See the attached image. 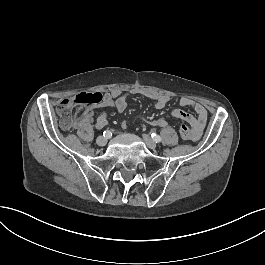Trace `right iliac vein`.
Here are the masks:
<instances>
[{"label": "right iliac vein", "instance_id": "obj_1", "mask_svg": "<svg viewBox=\"0 0 265 265\" xmlns=\"http://www.w3.org/2000/svg\"><path fill=\"white\" fill-rule=\"evenodd\" d=\"M96 142H97V144H98L99 146H105L106 143H107V138L104 137V136H99V137L97 138Z\"/></svg>", "mask_w": 265, "mask_h": 265}]
</instances>
